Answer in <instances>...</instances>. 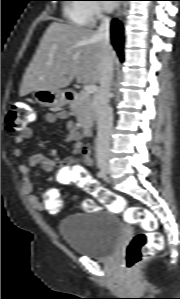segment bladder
Returning a JSON list of instances; mask_svg holds the SVG:
<instances>
[{
  "label": "bladder",
  "instance_id": "31cf9c89",
  "mask_svg": "<svg viewBox=\"0 0 180 299\" xmlns=\"http://www.w3.org/2000/svg\"><path fill=\"white\" fill-rule=\"evenodd\" d=\"M59 232L75 253L107 259L117 250L124 227L113 212L103 209L68 215L60 222Z\"/></svg>",
  "mask_w": 180,
  "mask_h": 299
}]
</instances>
